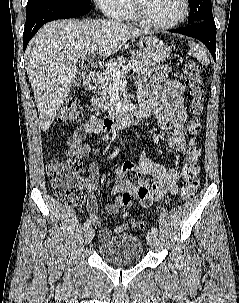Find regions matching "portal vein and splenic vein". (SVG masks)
Instances as JSON below:
<instances>
[{
    "mask_svg": "<svg viewBox=\"0 0 239 303\" xmlns=\"http://www.w3.org/2000/svg\"><path fill=\"white\" fill-rule=\"evenodd\" d=\"M97 50V45H92L89 48V52L91 55H94L95 51ZM85 56H82L81 58L83 59ZM137 61H131L128 63L127 66H124L122 70L116 69L112 64L110 63H105L106 70L110 72L114 80H120L130 69H133L134 67L137 66Z\"/></svg>",
    "mask_w": 239,
    "mask_h": 303,
    "instance_id": "obj_1",
    "label": "portal vein and splenic vein"
}]
</instances>
